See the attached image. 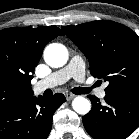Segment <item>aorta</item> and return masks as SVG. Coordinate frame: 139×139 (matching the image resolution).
Segmentation results:
<instances>
[{
    "label": "aorta",
    "instance_id": "762f6f07",
    "mask_svg": "<svg viewBox=\"0 0 139 139\" xmlns=\"http://www.w3.org/2000/svg\"><path fill=\"white\" fill-rule=\"evenodd\" d=\"M44 60L50 67H62L68 61V50L59 43L49 44L44 50ZM72 107L78 114L85 115L89 113L91 103L88 99L78 96L72 101Z\"/></svg>",
    "mask_w": 139,
    "mask_h": 139
}]
</instances>
